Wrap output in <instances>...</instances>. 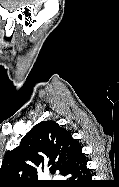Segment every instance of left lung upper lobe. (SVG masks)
<instances>
[{
  "mask_svg": "<svg viewBox=\"0 0 119 187\" xmlns=\"http://www.w3.org/2000/svg\"><path fill=\"white\" fill-rule=\"evenodd\" d=\"M78 142L55 121L36 124L22 138L20 145L9 151L0 168V187H20L36 183L38 171H67L73 148Z\"/></svg>",
  "mask_w": 119,
  "mask_h": 187,
  "instance_id": "1",
  "label": "left lung upper lobe"
}]
</instances>
